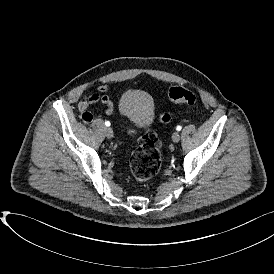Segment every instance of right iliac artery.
Segmentation results:
<instances>
[{
	"instance_id": "82829eb1",
	"label": "right iliac artery",
	"mask_w": 274,
	"mask_h": 274,
	"mask_svg": "<svg viewBox=\"0 0 274 274\" xmlns=\"http://www.w3.org/2000/svg\"><path fill=\"white\" fill-rule=\"evenodd\" d=\"M105 125H106V126H110V122H109V121H106V122H105Z\"/></svg>"
}]
</instances>
